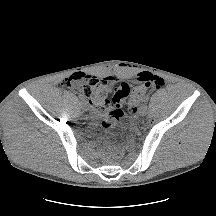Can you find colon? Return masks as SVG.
I'll list each match as a JSON object with an SVG mask.
<instances>
[{
  "instance_id": "1",
  "label": "colon",
  "mask_w": 216,
  "mask_h": 216,
  "mask_svg": "<svg viewBox=\"0 0 216 216\" xmlns=\"http://www.w3.org/2000/svg\"><path fill=\"white\" fill-rule=\"evenodd\" d=\"M139 80L140 85L133 89L127 84H121L113 91L107 78L96 76H85L67 84L73 86L80 95L103 113L101 126L105 130H111L116 128L123 118V105L127 104L129 112L134 114L139 104L148 97L151 88H160L164 85L162 78L149 73L141 74Z\"/></svg>"
}]
</instances>
